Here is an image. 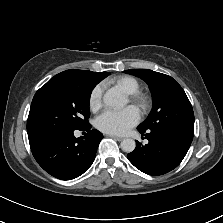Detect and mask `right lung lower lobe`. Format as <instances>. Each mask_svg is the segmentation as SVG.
I'll return each instance as SVG.
<instances>
[{"mask_svg": "<svg viewBox=\"0 0 223 223\" xmlns=\"http://www.w3.org/2000/svg\"><path fill=\"white\" fill-rule=\"evenodd\" d=\"M91 126L76 129L88 131L76 138L75 130L54 131L29 139L31 151L38 164L50 175L71 180L82 175L93 163L101 132Z\"/></svg>", "mask_w": 223, "mask_h": 223, "instance_id": "right-lung-lower-lobe-1", "label": "right lung lower lobe"}]
</instances>
